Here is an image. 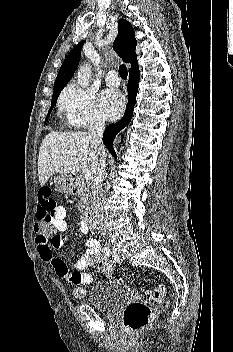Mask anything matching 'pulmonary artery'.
Segmentation results:
<instances>
[{
  "instance_id": "obj_1",
  "label": "pulmonary artery",
  "mask_w": 233,
  "mask_h": 352,
  "mask_svg": "<svg viewBox=\"0 0 233 352\" xmlns=\"http://www.w3.org/2000/svg\"><path fill=\"white\" fill-rule=\"evenodd\" d=\"M105 81L108 86L117 87L120 84V79L116 71L111 70L107 73Z\"/></svg>"
}]
</instances>
